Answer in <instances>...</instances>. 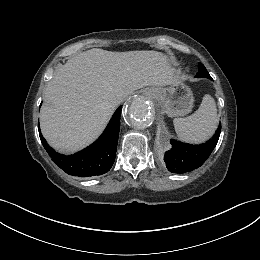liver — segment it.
<instances>
[{
    "mask_svg": "<svg viewBox=\"0 0 260 260\" xmlns=\"http://www.w3.org/2000/svg\"><path fill=\"white\" fill-rule=\"evenodd\" d=\"M180 79L170 59L157 51L112 52L93 48L70 58L48 83L40 112L44 138L54 149L73 153L104 130L118 97Z\"/></svg>",
    "mask_w": 260,
    "mask_h": 260,
    "instance_id": "liver-1",
    "label": "liver"
}]
</instances>
